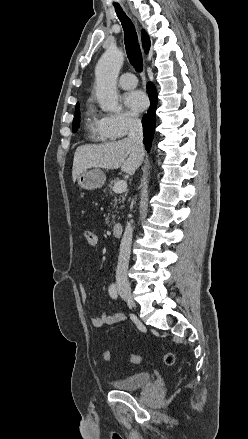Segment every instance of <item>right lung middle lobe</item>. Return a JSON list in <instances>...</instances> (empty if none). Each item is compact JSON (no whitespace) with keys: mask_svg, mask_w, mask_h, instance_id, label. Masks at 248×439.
Masks as SVG:
<instances>
[{"mask_svg":"<svg viewBox=\"0 0 248 439\" xmlns=\"http://www.w3.org/2000/svg\"><path fill=\"white\" fill-rule=\"evenodd\" d=\"M79 123H80V111L77 110V111H75V116H74V120H73V132L77 131Z\"/></svg>","mask_w":248,"mask_h":439,"instance_id":"dd1d6c3e","label":"right lung middle lobe"}]
</instances>
